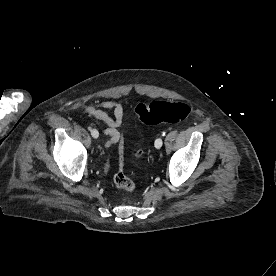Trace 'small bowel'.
<instances>
[{
    "label": "small bowel",
    "instance_id": "c3829d8e",
    "mask_svg": "<svg viewBox=\"0 0 276 276\" xmlns=\"http://www.w3.org/2000/svg\"><path fill=\"white\" fill-rule=\"evenodd\" d=\"M107 110H111L113 112V116H110L106 112ZM85 112L88 115L102 121L106 125L103 132L109 137V140L106 142L107 147L120 140L121 133L118 128L121 126L124 118V108L120 103L112 100H106L101 102L98 106H85Z\"/></svg>",
    "mask_w": 276,
    "mask_h": 276
}]
</instances>
